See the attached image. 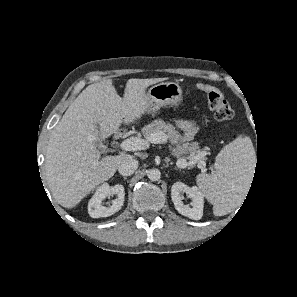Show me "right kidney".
<instances>
[{
    "mask_svg": "<svg viewBox=\"0 0 297 297\" xmlns=\"http://www.w3.org/2000/svg\"><path fill=\"white\" fill-rule=\"evenodd\" d=\"M116 195L110 206H103V201L106 197ZM125 191L121 184L109 186L108 183L102 184L97 188L95 194L90 199L88 204V213L92 218L108 217L118 212L124 203Z\"/></svg>",
    "mask_w": 297,
    "mask_h": 297,
    "instance_id": "1",
    "label": "right kidney"
}]
</instances>
